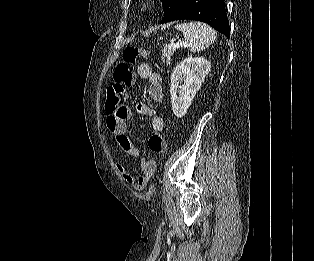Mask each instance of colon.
Returning a JSON list of instances; mask_svg holds the SVG:
<instances>
[{
	"label": "colon",
	"mask_w": 314,
	"mask_h": 261,
	"mask_svg": "<svg viewBox=\"0 0 314 261\" xmlns=\"http://www.w3.org/2000/svg\"><path fill=\"white\" fill-rule=\"evenodd\" d=\"M148 52L136 46H128L123 51V60L118 63L113 72V82L108 86L107 109L113 110L117 106L124 105L127 99L126 89L131 86L133 73L131 65L139 58L146 57ZM149 149L155 154L166 152L165 140L159 132H155L149 138Z\"/></svg>",
	"instance_id": "colon-1"
}]
</instances>
